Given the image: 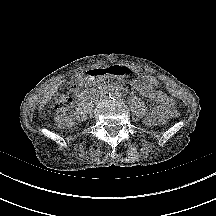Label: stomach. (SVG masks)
<instances>
[{
  "label": "stomach",
  "mask_w": 216,
  "mask_h": 216,
  "mask_svg": "<svg viewBox=\"0 0 216 216\" xmlns=\"http://www.w3.org/2000/svg\"><path fill=\"white\" fill-rule=\"evenodd\" d=\"M89 75L94 80L107 77L129 80L133 76V71L128 65L96 66L90 70Z\"/></svg>",
  "instance_id": "stomach-1"
}]
</instances>
